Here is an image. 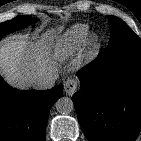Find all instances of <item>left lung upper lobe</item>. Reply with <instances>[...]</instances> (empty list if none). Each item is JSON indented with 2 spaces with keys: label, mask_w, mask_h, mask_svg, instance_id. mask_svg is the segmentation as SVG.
<instances>
[{
  "label": "left lung upper lobe",
  "mask_w": 141,
  "mask_h": 141,
  "mask_svg": "<svg viewBox=\"0 0 141 141\" xmlns=\"http://www.w3.org/2000/svg\"><path fill=\"white\" fill-rule=\"evenodd\" d=\"M107 17L111 29L108 49L141 48V39L124 21L115 16Z\"/></svg>",
  "instance_id": "1"
}]
</instances>
